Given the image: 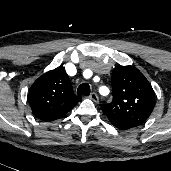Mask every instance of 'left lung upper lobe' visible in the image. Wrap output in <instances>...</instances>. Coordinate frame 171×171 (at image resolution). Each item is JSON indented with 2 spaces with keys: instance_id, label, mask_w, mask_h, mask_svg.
Masks as SVG:
<instances>
[{
  "instance_id": "left-lung-upper-lobe-1",
  "label": "left lung upper lobe",
  "mask_w": 171,
  "mask_h": 171,
  "mask_svg": "<svg viewBox=\"0 0 171 171\" xmlns=\"http://www.w3.org/2000/svg\"><path fill=\"white\" fill-rule=\"evenodd\" d=\"M113 100L102 111L119 129L128 130L145 123L155 106L152 86L133 66H118L112 72Z\"/></svg>"
}]
</instances>
